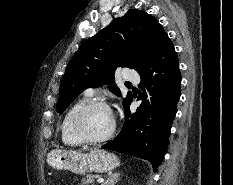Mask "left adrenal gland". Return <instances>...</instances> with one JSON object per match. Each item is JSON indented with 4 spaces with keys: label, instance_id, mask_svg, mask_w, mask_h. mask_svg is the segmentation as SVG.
I'll return each instance as SVG.
<instances>
[{
    "label": "left adrenal gland",
    "instance_id": "obj_1",
    "mask_svg": "<svg viewBox=\"0 0 233 185\" xmlns=\"http://www.w3.org/2000/svg\"><path fill=\"white\" fill-rule=\"evenodd\" d=\"M120 177V173L116 172L111 174L105 181L103 185H115Z\"/></svg>",
    "mask_w": 233,
    "mask_h": 185
}]
</instances>
